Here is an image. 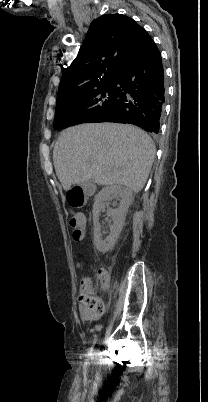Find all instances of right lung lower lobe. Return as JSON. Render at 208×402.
Listing matches in <instances>:
<instances>
[{"label": "right lung lower lobe", "mask_w": 208, "mask_h": 402, "mask_svg": "<svg viewBox=\"0 0 208 402\" xmlns=\"http://www.w3.org/2000/svg\"><path fill=\"white\" fill-rule=\"evenodd\" d=\"M114 84V107L85 122L128 123L157 134L165 102L164 69L161 54L149 34L143 37ZM80 123L84 122L62 123L57 129Z\"/></svg>", "instance_id": "1"}]
</instances>
